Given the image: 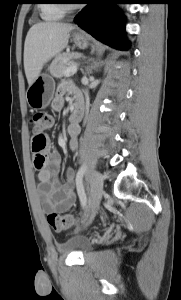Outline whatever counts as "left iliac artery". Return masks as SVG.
<instances>
[{
    "instance_id": "1",
    "label": "left iliac artery",
    "mask_w": 181,
    "mask_h": 300,
    "mask_svg": "<svg viewBox=\"0 0 181 300\" xmlns=\"http://www.w3.org/2000/svg\"><path fill=\"white\" fill-rule=\"evenodd\" d=\"M87 170V165L84 163L78 170L77 175H76V189L77 193L81 202V206L83 208L86 207L87 204V196L84 190V185H83V176Z\"/></svg>"
}]
</instances>
